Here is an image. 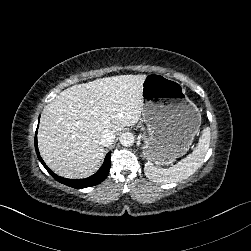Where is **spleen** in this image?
Segmentation results:
<instances>
[{
    "label": "spleen",
    "mask_w": 251,
    "mask_h": 251,
    "mask_svg": "<svg viewBox=\"0 0 251 251\" xmlns=\"http://www.w3.org/2000/svg\"><path fill=\"white\" fill-rule=\"evenodd\" d=\"M211 129L206 127L194 151L179 160L172 168H156L152 161L145 164L146 176L158 183L179 182L190 177L202 164L210 146Z\"/></svg>",
    "instance_id": "spleen-1"
}]
</instances>
